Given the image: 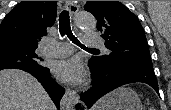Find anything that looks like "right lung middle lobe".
Here are the masks:
<instances>
[{"instance_id":"1","label":"right lung middle lobe","mask_w":171,"mask_h":110,"mask_svg":"<svg viewBox=\"0 0 171 110\" xmlns=\"http://www.w3.org/2000/svg\"><path fill=\"white\" fill-rule=\"evenodd\" d=\"M37 48L3 45L0 46V70L8 68H46L36 54Z\"/></svg>"}]
</instances>
